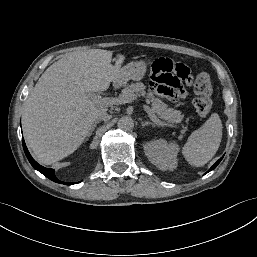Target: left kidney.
<instances>
[{"label":"left kidney","mask_w":257,"mask_h":257,"mask_svg":"<svg viewBox=\"0 0 257 257\" xmlns=\"http://www.w3.org/2000/svg\"><path fill=\"white\" fill-rule=\"evenodd\" d=\"M178 151L176 143L167 142L165 139L152 140L144 146L149 161L162 171L176 169Z\"/></svg>","instance_id":"obj_1"}]
</instances>
